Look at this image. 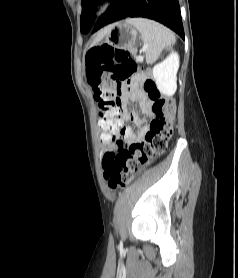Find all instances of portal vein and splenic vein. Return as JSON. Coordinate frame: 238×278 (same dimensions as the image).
<instances>
[{
    "mask_svg": "<svg viewBox=\"0 0 238 278\" xmlns=\"http://www.w3.org/2000/svg\"><path fill=\"white\" fill-rule=\"evenodd\" d=\"M137 60H138V61H143V57H142V56H138V57H137Z\"/></svg>",
    "mask_w": 238,
    "mask_h": 278,
    "instance_id": "18ae733b",
    "label": "portal vein and splenic vein"
}]
</instances>
